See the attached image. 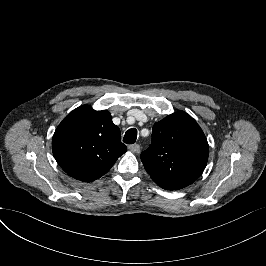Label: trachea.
I'll use <instances>...</instances> for the list:
<instances>
[{
  "label": "trachea",
  "mask_w": 266,
  "mask_h": 266,
  "mask_svg": "<svg viewBox=\"0 0 266 266\" xmlns=\"http://www.w3.org/2000/svg\"><path fill=\"white\" fill-rule=\"evenodd\" d=\"M137 139V130L135 128L129 129L124 135L123 141L126 144H133Z\"/></svg>",
  "instance_id": "3493384b"
}]
</instances>
